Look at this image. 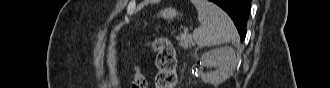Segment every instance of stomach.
Segmentation results:
<instances>
[{
  "label": "stomach",
  "instance_id": "obj_1",
  "mask_svg": "<svg viewBox=\"0 0 330 88\" xmlns=\"http://www.w3.org/2000/svg\"><path fill=\"white\" fill-rule=\"evenodd\" d=\"M158 15L165 19L173 20V18L178 15V12L176 11V9L166 8V9L160 11V13Z\"/></svg>",
  "mask_w": 330,
  "mask_h": 88
}]
</instances>
